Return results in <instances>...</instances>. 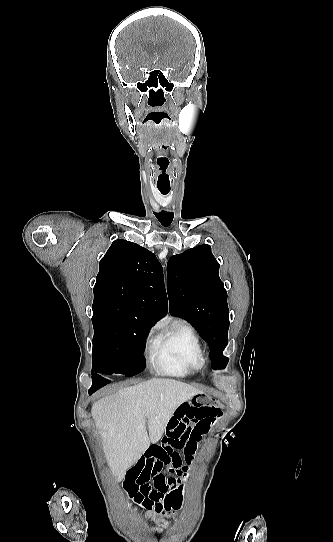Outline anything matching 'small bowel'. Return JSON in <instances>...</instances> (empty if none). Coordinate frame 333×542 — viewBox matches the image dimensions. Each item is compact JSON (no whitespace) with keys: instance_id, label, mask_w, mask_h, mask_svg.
<instances>
[{"instance_id":"1","label":"small bowel","mask_w":333,"mask_h":542,"mask_svg":"<svg viewBox=\"0 0 333 542\" xmlns=\"http://www.w3.org/2000/svg\"><path fill=\"white\" fill-rule=\"evenodd\" d=\"M161 444H153L144 452L135 466L125 474V479L132 483L134 502L142 509L145 517H151L159 523L153 530L162 532L171 524L164 520L172 519V514L165 504L168 498L178 497V488L185 473L181 464L180 453L187 462H191L203 437L210 431L213 421L222 418L219 409L198 404L196 400H185L183 405L173 409ZM164 467L175 472L178 477L165 476Z\"/></svg>"}]
</instances>
